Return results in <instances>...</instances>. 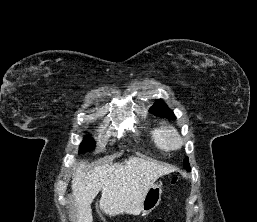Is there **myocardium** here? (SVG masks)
<instances>
[{
    "mask_svg": "<svg viewBox=\"0 0 257 222\" xmlns=\"http://www.w3.org/2000/svg\"><path fill=\"white\" fill-rule=\"evenodd\" d=\"M165 145L169 149H179L182 146V138L173 126H165L162 130Z\"/></svg>",
    "mask_w": 257,
    "mask_h": 222,
    "instance_id": "myocardium-1",
    "label": "myocardium"
}]
</instances>
